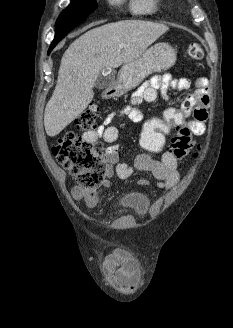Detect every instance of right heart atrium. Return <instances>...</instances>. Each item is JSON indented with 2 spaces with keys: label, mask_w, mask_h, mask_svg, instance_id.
Instances as JSON below:
<instances>
[{
  "label": "right heart atrium",
  "mask_w": 233,
  "mask_h": 328,
  "mask_svg": "<svg viewBox=\"0 0 233 328\" xmlns=\"http://www.w3.org/2000/svg\"><path fill=\"white\" fill-rule=\"evenodd\" d=\"M113 3H119L121 0H110Z\"/></svg>",
  "instance_id": "d8ad5b80"
}]
</instances>
